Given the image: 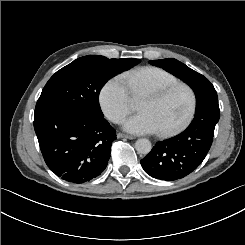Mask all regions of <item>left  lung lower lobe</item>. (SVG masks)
<instances>
[{"label": "left lung lower lobe", "instance_id": "obj_1", "mask_svg": "<svg viewBox=\"0 0 245 245\" xmlns=\"http://www.w3.org/2000/svg\"><path fill=\"white\" fill-rule=\"evenodd\" d=\"M196 113L192 123L181 134L159 141L141 160L151 177L175 181L192 173L207 155L220 118L218 96L211 83L196 94Z\"/></svg>", "mask_w": 245, "mask_h": 245}]
</instances>
